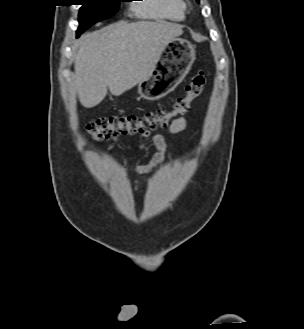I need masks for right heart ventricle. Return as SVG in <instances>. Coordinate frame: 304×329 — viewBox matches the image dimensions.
<instances>
[{"instance_id": "1", "label": "right heart ventricle", "mask_w": 304, "mask_h": 329, "mask_svg": "<svg viewBox=\"0 0 304 329\" xmlns=\"http://www.w3.org/2000/svg\"><path fill=\"white\" fill-rule=\"evenodd\" d=\"M135 5L136 15L146 18L181 21L185 15L186 4L184 0H140Z\"/></svg>"}]
</instances>
